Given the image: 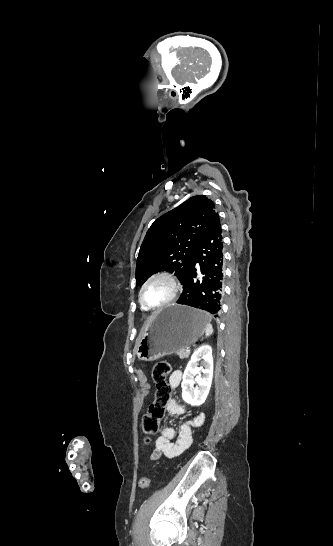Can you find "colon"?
<instances>
[{
    "mask_svg": "<svg viewBox=\"0 0 333 546\" xmlns=\"http://www.w3.org/2000/svg\"><path fill=\"white\" fill-rule=\"evenodd\" d=\"M170 371L171 364L165 360L157 362L152 369L151 378L156 385V394L154 402L149 406L142 419V428L146 441H149L159 432L161 421L165 416L166 405L171 400L172 386L167 381ZM150 485V478H142L139 481L141 489H148Z\"/></svg>",
    "mask_w": 333,
    "mask_h": 546,
    "instance_id": "5ec220e1",
    "label": "colon"
}]
</instances>
